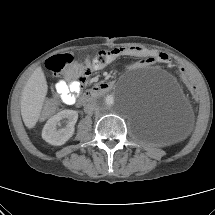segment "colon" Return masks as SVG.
I'll return each instance as SVG.
<instances>
[{
    "mask_svg": "<svg viewBox=\"0 0 215 215\" xmlns=\"http://www.w3.org/2000/svg\"><path fill=\"white\" fill-rule=\"evenodd\" d=\"M46 67L55 74H62V79L66 83H71L87 70V65L83 61H76L71 53L55 55L46 60ZM177 72L182 84L185 86L187 94L196 95L198 86L194 77L186 70L183 64L177 65ZM57 107V100L50 99L43 110L45 115L51 114Z\"/></svg>",
    "mask_w": 215,
    "mask_h": 215,
    "instance_id": "colon-1",
    "label": "colon"
}]
</instances>
